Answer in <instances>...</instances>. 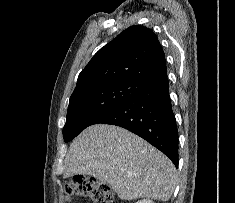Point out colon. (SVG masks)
Segmentation results:
<instances>
[{
  "instance_id": "obj_1",
  "label": "colon",
  "mask_w": 235,
  "mask_h": 203,
  "mask_svg": "<svg viewBox=\"0 0 235 203\" xmlns=\"http://www.w3.org/2000/svg\"><path fill=\"white\" fill-rule=\"evenodd\" d=\"M66 196L78 195L90 199L93 203H114V194L108 185H99L90 177L75 176L65 186Z\"/></svg>"
}]
</instances>
